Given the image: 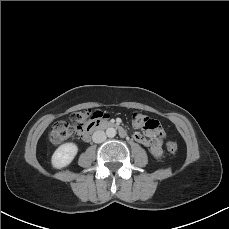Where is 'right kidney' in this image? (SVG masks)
<instances>
[{
	"label": "right kidney",
	"instance_id": "right-kidney-1",
	"mask_svg": "<svg viewBox=\"0 0 229 229\" xmlns=\"http://www.w3.org/2000/svg\"><path fill=\"white\" fill-rule=\"evenodd\" d=\"M78 147L75 143H65L59 146L52 155L51 163L54 168L61 169L68 166L75 158Z\"/></svg>",
	"mask_w": 229,
	"mask_h": 229
}]
</instances>
